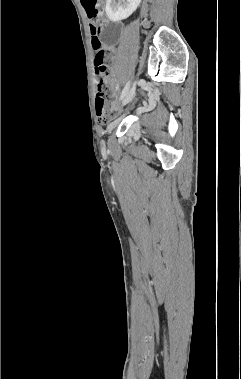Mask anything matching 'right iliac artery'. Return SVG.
Returning a JSON list of instances; mask_svg holds the SVG:
<instances>
[{"instance_id":"1","label":"right iliac artery","mask_w":241,"mask_h":379,"mask_svg":"<svg viewBox=\"0 0 241 379\" xmlns=\"http://www.w3.org/2000/svg\"><path fill=\"white\" fill-rule=\"evenodd\" d=\"M128 90H129V82H127V84L125 85V87L121 93L120 100L124 98V96L127 94Z\"/></svg>"}]
</instances>
